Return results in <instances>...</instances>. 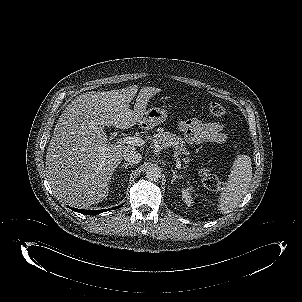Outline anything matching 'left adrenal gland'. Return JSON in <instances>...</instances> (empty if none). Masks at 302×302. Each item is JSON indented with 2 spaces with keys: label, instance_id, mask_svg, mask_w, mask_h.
<instances>
[{
  "label": "left adrenal gland",
  "instance_id": "obj_1",
  "mask_svg": "<svg viewBox=\"0 0 302 302\" xmlns=\"http://www.w3.org/2000/svg\"><path fill=\"white\" fill-rule=\"evenodd\" d=\"M171 171L173 173L171 183H173L174 181L180 179V175L174 169H171Z\"/></svg>",
  "mask_w": 302,
  "mask_h": 302
}]
</instances>
